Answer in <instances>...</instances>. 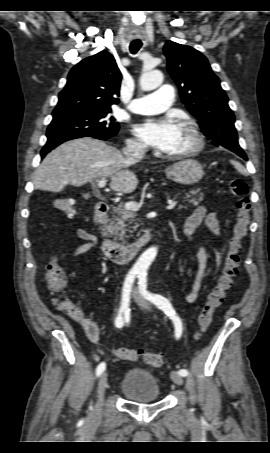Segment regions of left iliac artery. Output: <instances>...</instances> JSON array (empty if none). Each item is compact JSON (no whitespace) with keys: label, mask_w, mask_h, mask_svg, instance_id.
<instances>
[{"label":"left iliac artery","mask_w":270,"mask_h":453,"mask_svg":"<svg viewBox=\"0 0 270 453\" xmlns=\"http://www.w3.org/2000/svg\"><path fill=\"white\" fill-rule=\"evenodd\" d=\"M138 278H139V290L141 294L149 300L151 303L156 305L159 309L164 311L173 321L175 325V336L176 338H180L182 334V322L180 318L176 315L175 310L173 309L171 303L169 300L159 294H153L148 292L147 289V275L144 272L138 273ZM178 373L181 376H187L188 371L186 369H180Z\"/></svg>","instance_id":"1"}]
</instances>
